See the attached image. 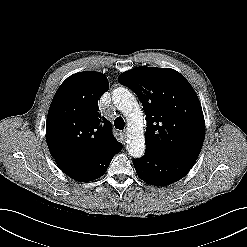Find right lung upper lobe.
Instances as JSON below:
<instances>
[{
    "label": "right lung upper lobe",
    "instance_id": "1",
    "mask_svg": "<svg viewBox=\"0 0 247 247\" xmlns=\"http://www.w3.org/2000/svg\"><path fill=\"white\" fill-rule=\"evenodd\" d=\"M108 88L106 76L94 71L76 73L58 88L46 122L47 145L55 161L86 164L121 145L111 123L99 113L98 100Z\"/></svg>",
    "mask_w": 247,
    "mask_h": 247
}]
</instances>
